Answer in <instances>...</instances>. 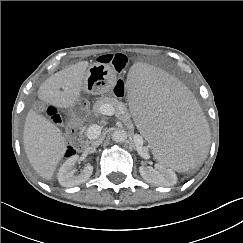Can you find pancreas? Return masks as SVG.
<instances>
[{
  "mask_svg": "<svg viewBox=\"0 0 243 243\" xmlns=\"http://www.w3.org/2000/svg\"><path fill=\"white\" fill-rule=\"evenodd\" d=\"M105 104H109L113 107L115 111V116L123 121L125 124H131L130 114L128 113L126 106L119 102L114 97H101L98 101L93 105V113L95 115L102 114V106Z\"/></svg>",
  "mask_w": 243,
  "mask_h": 243,
  "instance_id": "pancreas-1",
  "label": "pancreas"
}]
</instances>
